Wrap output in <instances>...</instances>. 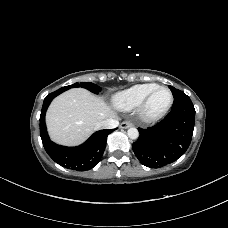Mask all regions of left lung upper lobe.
Returning a JSON list of instances; mask_svg holds the SVG:
<instances>
[{
	"mask_svg": "<svg viewBox=\"0 0 228 228\" xmlns=\"http://www.w3.org/2000/svg\"><path fill=\"white\" fill-rule=\"evenodd\" d=\"M170 90L172 91V94H173V97L174 98H177V97H180L182 95H184L185 93L183 91H180L172 86H169Z\"/></svg>",
	"mask_w": 228,
	"mask_h": 228,
	"instance_id": "1",
	"label": "left lung upper lobe"
}]
</instances>
